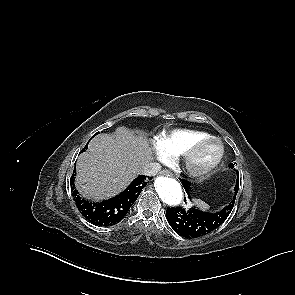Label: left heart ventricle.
<instances>
[{
    "label": "left heart ventricle",
    "instance_id": "obj_1",
    "mask_svg": "<svg viewBox=\"0 0 295 295\" xmlns=\"http://www.w3.org/2000/svg\"><path fill=\"white\" fill-rule=\"evenodd\" d=\"M217 151H218V149L215 144L210 143V144L205 145L197 153L195 160H194L195 165L198 167H202V166L207 165L216 156Z\"/></svg>",
    "mask_w": 295,
    "mask_h": 295
}]
</instances>
